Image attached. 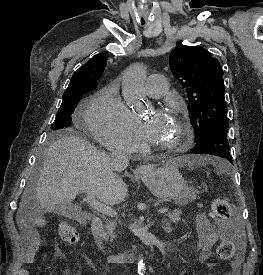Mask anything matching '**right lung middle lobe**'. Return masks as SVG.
Wrapping results in <instances>:
<instances>
[{
	"instance_id": "right-lung-middle-lobe-1",
	"label": "right lung middle lobe",
	"mask_w": 263,
	"mask_h": 275,
	"mask_svg": "<svg viewBox=\"0 0 263 275\" xmlns=\"http://www.w3.org/2000/svg\"><path fill=\"white\" fill-rule=\"evenodd\" d=\"M87 92H89V90L84 89L63 94L62 104L57 112L56 120L51 127L52 130L65 129L70 126L72 119L71 115L82 95Z\"/></svg>"
}]
</instances>
